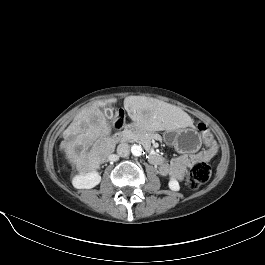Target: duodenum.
Segmentation results:
<instances>
[{"label":"duodenum","mask_w":265,"mask_h":265,"mask_svg":"<svg viewBox=\"0 0 265 265\" xmlns=\"http://www.w3.org/2000/svg\"><path fill=\"white\" fill-rule=\"evenodd\" d=\"M125 137V132L124 131H120V132H117L116 134H114L113 138L115 141H121L123 140ZM149 160L151 163L157 165V166H160L164 163V159L159 156V155H156V154H153L151 153L149 155Z\"/></svg>","instance_id":"duodenum-1"}]
</instances>
